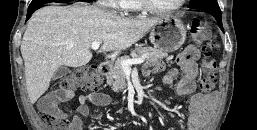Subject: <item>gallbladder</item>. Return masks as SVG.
<instances>
[{
  "mask_svg": "<svg viewBox=\"0 0 257 130\" xmlns=\"http://www.w3.org/2000/svg\"><path fill=\"white\" fill-rule=\"evenodd\" d=\"M70 73V70L66 66H61L57 69V71L53 75V80L60 79Z\"/></svg>",
  "mask_w": 257,
  "mask_h": 130,
  "instance_id": "gallbladder-1",
  "label": "gallbladder"
}]
</instances>
